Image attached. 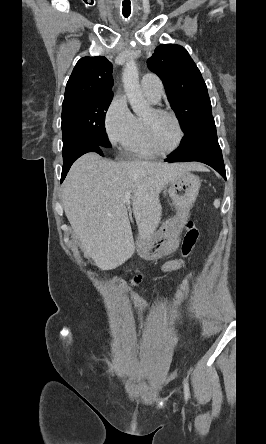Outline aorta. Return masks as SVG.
<instances>
[{
    "instance_id": "obj_1",
    "label": "aorta",
    "mask_w": 266,
    "mask_h": 444,
    "mask_svg": "<svg viewBox=\"0 0 266 444\" xmlns=\"http://www.w3.org/2000/svg\"><path fill=\"white\" fill-rule=\"evenodd\" d=\"M122 81L132 110L137 115H142L149 109V104L140 90L138 68L135 61L130 60L125 64Z\"/></svg>"
}]
</instances>
